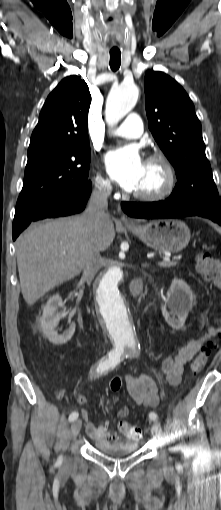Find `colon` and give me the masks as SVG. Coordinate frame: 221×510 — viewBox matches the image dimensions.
I'll list each match as a JSON object with an SVG mask.
<instances>
[{"label": "colon", "instance_id": "1", "mask_svg": "<svg viewBox=\"0 0 221 510\" xmlns=\"http://www.w3.org/2000/svg\"><path fill=\"white\" fill-rule=\"evenodd\" d=\"M196 266L199 272L205 277L206 280L211 282L216 288L221 289V267L211 256L205 252H199L195 257ZM212 342H208L201 348L197 356L191 363V372L193 374H199L205 366L208 357L212 349ZM122 382L118 376L113 377L110 380V389L113 392H118L121 388ZM129 411L127 408H122L119 411V416L124 418L128 415ZM123 422V421H121ZM132 438L136 439L141 436V430L136 427L127 428Z\"/></svg>", "mask_w": 221, "mask_h": 510}]
</instances>
